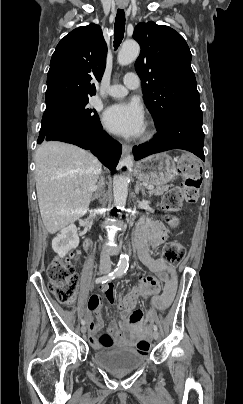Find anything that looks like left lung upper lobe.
Returning a JSON list of instances; mask_svg holds the SVG:
<instances>
[{
  "mask_svg": "<svg viewBox=\"0 0 243 404\" xmlns=\"http://www.w3.org/2000/svg\"><path fill=\"white\" fill-rule=\"evenodd\" d=\"M133 38L141 47L135 70L155 125H161L178 110H201L191 52L184 38L174 29L152 21L139 23Z\"/></svg>",
  "mask_w": 243,
  "mask_h": 404,
  "instance_id": "obj_1",
  "label": "left lung upper lobe"
}]
</instances>
